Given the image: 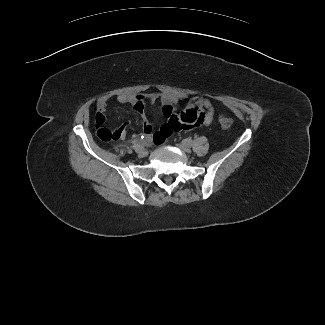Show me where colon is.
<instances>
[{
	"label": "colon",
	"mask_w": 325,
	"mask_h": 325,
	"mask_svg": "<svg viewBox=\"0 0 325 325\" xmlns=\"http://www.w3.org/2000/svg\"><path fill=\"white\" fill-rule=\"evenodd\" d=\"M219 123L221 124L222 128L229 129L231 127V120L227 117L220 116L219 117ZM97 136L106 142L114 141L119 139L120 133L117 129L110 130L101 126H97Z\"/></svg>",
	"instance_id": "5ec220e1"
}]
</instances>
